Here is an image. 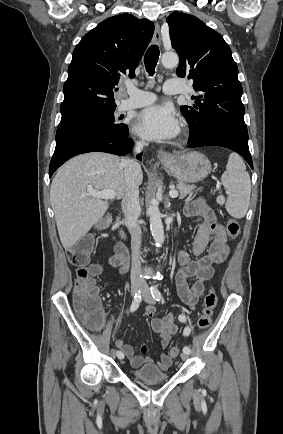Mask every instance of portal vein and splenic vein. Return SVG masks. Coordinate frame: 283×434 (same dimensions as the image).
<instances>
[{
  "mask_svg": "<svg viewBox=\"0 0 283 434\" xmlns=\"http://www.w3.org/2000/svg\"><path fill=\"white\" fill-rule=\"evenodd\" d=\"M88 195L94 198H101L106 200L115 198V192L111 190H104V191L88 190ZM169 195L171 198H176L178 196V191L171 189Z\"/></svg>",
  "mask_w": 283,
  "mask_h": 434,
  "instance_id": "obj_1",
  "label": "portal vein and splenic vein"
}]
</instances>
